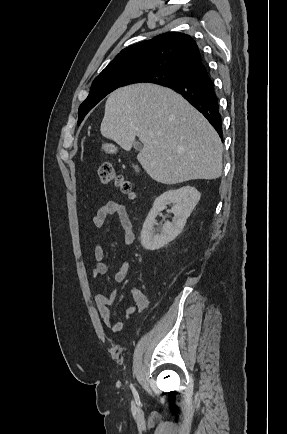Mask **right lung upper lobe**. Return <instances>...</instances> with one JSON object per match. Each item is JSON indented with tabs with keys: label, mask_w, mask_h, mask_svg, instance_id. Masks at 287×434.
Here are the masks:
<instances>
[{
	"label": "right lung upper lobe",
	"mask_w": 287,
	"mask_h": 434,
	"mask_svg": "<svg viewBox=\"0 0 287 434\" xmlns=\"http://www.w3.org/2000/svg\"><path fill=\"white\" fill-rule=\"evenodd\" d=\"M202 63L199 48L189 35L168 32L123 49L95 80L147 70L182 75Z\"/></svg>",
	"instance_id": "cb5924a9"
}]
</instances>
